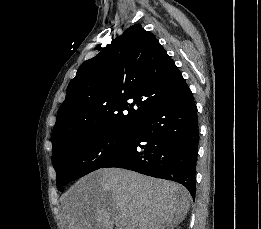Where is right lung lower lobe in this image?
Instances as JSON below:
<instances>
[{
  "mask_svg": "<svg viewBox=\"0 0 261 229\" xmlns=\"http://www.w3.org/2000/svg\"><path fill=\"white\" fill-rule=\"evenodd\" d=\"M197 107L185 80L139 125L129 147L101 168L118 167L182 184L195 199Z\"/></svg>",
  "mask_w": 261,
  "mask_h": 229,
  "instance_id": "1",
  "label": "right lung lower lobe"
}]
</instances>
